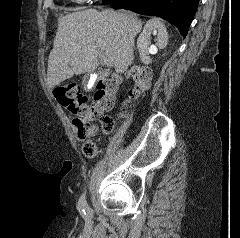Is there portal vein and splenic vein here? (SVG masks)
<instances>
[{"label": "portal vein and splenic vein", "instance_id": "1", "mask_svg": "<svg viewBox=\"0 0 240 238\" xmlns=\"http://www.w3.org/2000/svg\"><path fill=\"white\" fill-rule=\"evenodd\" d=\"M100 58L105 65H107V66L113 65V63L109 59L105 58L104 55L100 54Z\"/></svg>", "mask_w": 240, "mask_h": 238}]
</instances>
